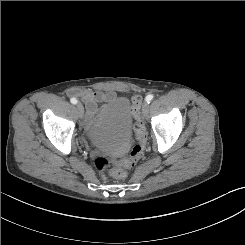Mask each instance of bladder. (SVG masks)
<instances>
[{
	"mask_svg": "<svg viewBox=\"0 0 245 245\" xmlns=\"http://www.w3.org/2000/svg\"><path fill=\"white\" fill-rule=\"evenodd\" d=\"M132 112L127 98L101 108L88 123L91 143L106 152L120 154L129 144Z\"/></svg>",
	"mask_w": 245,
	"mask_h": 245,
	"instance_id": "obj_1",
	"label": "bladder"
}]
</instances>
